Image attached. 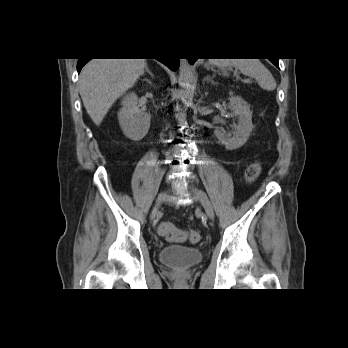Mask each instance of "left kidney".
Returning <instances> with one entry per match:
<instances>
[{
  "label": "left kidney",
  "instance_id": "left-kidney-1",
  "mask_svg": "<svg viewBox=\"0 0 348 348\" xmlns=\"http://www.w3.org/2000/svg\"><path fill=\"white\" fill-rule=\"evenodd\" d=\"M228 107L238 119V124L234 125L233 136L224 133L221 128H216L214 135L226 149L234 150L246 143L253 130L252 112L250 106L240 96L230 97Z\"/></svg>",
  "mask_w": 348,
  "mask_h": 348
}]
</instances>
